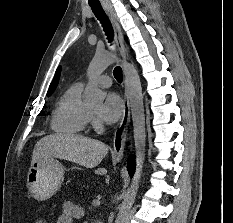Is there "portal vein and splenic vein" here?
I'll return each instance as SVG.
<instances>
[{
  "label": "portal vein and splenic vein",
  "instance_id": "18ae733b",
  "mask_svg": "<svg viewBox=\"0 0 233 223\" xmlns=\"http://www.w3.org/2000/svg\"><path fill=\"white\" fill-rule=\"evenodd\" d=\"M93 206H99L100 205V202L99 201H93Z\"/></svg>",
  "mask_w": 233,
  "mask_h": 223
}]
</instances>
